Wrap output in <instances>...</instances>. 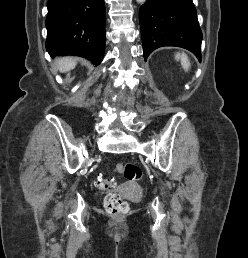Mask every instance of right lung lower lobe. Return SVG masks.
Listing matches in <instances>:
<instances>
[{"mask_svg":"<svg viewBox=\"0 0 248 258\" xmlns=\"http://www.w3.org/2000/svg\"><path fill=\"white\" fill-rule=\"evenodd\" d=\"M46 49L51 57L76 55L98 65L105 50L104 0H48Z\"/></svg>","mask_w":248,"mask_h":258,"instance_id":"98d812e1","label":"right lung lower lobe"}]
</instances>
